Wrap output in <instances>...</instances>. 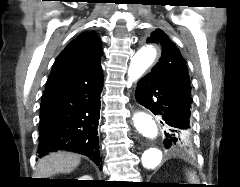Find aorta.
I'll use <instances>...</instances> for the list:
<instances>
[{
    "instance_id": "obj_1",
    "label": "aorta",
    "mask_w": 240,
    "mask_h": 187,
    "mask_svg": "<svg viewBox=\"0 0 240 187\" xmlns=\"http://www.w3.org/2000/svg\"><path fill=\"white\" fill-rule=\"evenodd\" d=\"M157 55L153 46H146L140 49L131 59L128 70V77L135 81L151 66ZM134 126L137 131L145 138L154 140L158 136V129L152 116L139 112L134 115ZM162 150L157 146L147 147L141 156L142 165L146 169L157 167L162 161Z\"/></svg>"
}]
</instances>
